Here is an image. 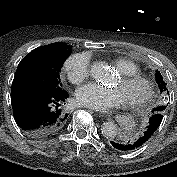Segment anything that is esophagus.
Listing matches in <instances>:
<instances>
[{
    "label": "esophagus",
    "mask_w": 177,
    "mask_h": 177,
    "mask_svg": "<svg viewBox=\"0 0 177 177\" xmlns=\"http://www.w3.org/2000/svg\"><path fill=\"white\" fill-rule=\"evenodd\" d=\"M111 116H112V113L110 111H106L101 114V117L103 119L110 118Z\"/></svg>",
    "instance_id": "34e87169"
}]
</instances>
